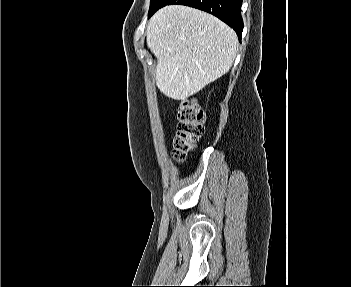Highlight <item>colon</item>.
<instances>
[{
	"label": "colon",
	"instance_id": "1",
	"mask_svg": "<svg viewBox=\"0 0 351 287\" xmlns=\"http://www.w3.org/2000/svg\"><path fill=\"white\" fill-rule=\"evenodd\" d=\"M178 132L174 139V155L183 161L204 133V112L194 99H187L178 108Z\"/></svg>",
	"mask_w": 351,
	"mask_h": 287
}]
</instances>
